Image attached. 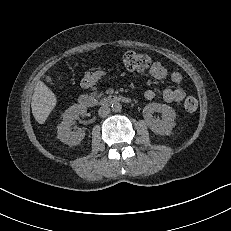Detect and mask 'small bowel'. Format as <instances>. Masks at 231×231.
<instances>
[{
  "label": "small bowel",
  "mask_w": 231,
  "mask_h": 231,
  "mask_svg": "<svg viewBox=\"0 0 231 231\" xmlns=\"http://www.w3.org/2000/svg\"><path fill=\"white\" fill-rule=\"evenodd\" d=\"M104 71L94 70L85 72L81 85L83 88H91L95 86L104 76ZM149 74L156 80L165 79L168 76L167 68L160 62H154L149 70ZM170 80L174 84L172 88H166L162 91L161 97L167 103L180 102L185 97V91L181 87L182 74L174 71L170 74ZM158 96L154 90H146L144 97L147 100H153Z\"/></svg>",
  "instance_id": "1"
}]
</instances>
